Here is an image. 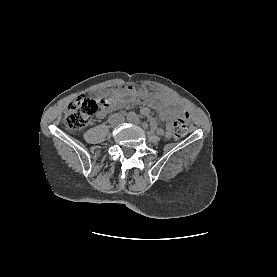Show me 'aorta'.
Wrapping results in <instances>:
<instances>
[{
  "mask_svg": "<svg viewBox=\"0 0 277 277\" xmlns=\"http://www.w3.org/2000/svg\"><path fill=\"white\" fill-rule=\"evenodd\" d=\"M137 114L134 112H129L127 115V120L130 122L136 121L137 120Z\"/></svg>",
  "mask_w": 277,
  "mask_h": 277,
  "instance_id": "aorta-1",
  "label": "aorta"
}]
</instances>
